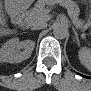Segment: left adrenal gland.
I'll list each match as a JSON object with an SVG mask.
<instances>
[{"mask_svg": "<svg viewBox=\"0 0 91 91\" xmlns=\"http://www.w3.org/2000/svg\"><path fill=\"white\" fill-rule=\"evenodd\" d=\"M72 29H73V32H74V35H75V39L77 40L78 45H79V44H80V40H79V37H78L77 31H76V29H75L74 27H73Z\"/></svg>", "mask_w": 91, "mask_h": 91, "instance_id": "a2214340", "label": "left adrenal gland"}]
</instances>
